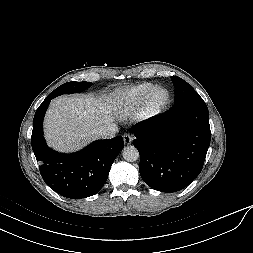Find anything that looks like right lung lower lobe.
Here are the masks:
<instances>
[{"instance_id":"right-lung-lower-lobe-1","label":"right lung lower lobe","mask_w":253,"mask_h":253,"mask_svg":"<svg viewBox=\"0 0 253 253\" xmlns=\"http://www.w3.org/2000/svg\"><path fill=\"white\" fill-rule=\"evenodd\" d=\"M50 94L38 107L33 120L32 149L40 162L45 183L58 194L80 199L95 195L105 184L111 165L124 142L121 136L97 140L73 154H59L48 148L43 137V118L51 99Z\"/></svg>"}]
</instances>
